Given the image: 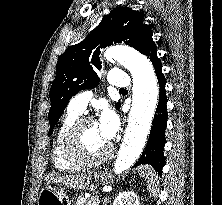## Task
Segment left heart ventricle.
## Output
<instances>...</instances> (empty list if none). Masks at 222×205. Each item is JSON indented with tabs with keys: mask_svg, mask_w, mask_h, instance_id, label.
<instances>
[{
	"mask_svg": "<svg viewBox=\"0 0 222 205\" xmlns=\"http://www.w3.org/2000/svg\"><path fill=\"white\" fill-rule=\"evenodd\" d=\"M109 142L101 135L96 123H87L78 136V147L86 157H96L102 154Z\"/></svg>",
	"mask_w": 222,
	"mask_h": 205,
	"instance_id": "left-heart-ventricle-1",
	"label": "left heart ventricle"
}]
</instances>
